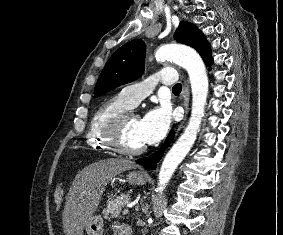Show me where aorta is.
Returning a JSON list of instances; mask_svg holds the SVG:
<instances>
[{
	"label": "aorta",
	"mask_w": 283,
	"mask_h": 235,
	"mask_svg": "<svg viewBox=\"0 0 283 235\" xmlns=\"http://www.w3.org/2000/svg\"><path fill=\"white\" fill-rule=\"evenodd\" d=\"M155 58L159 61L173 60L186 69L192 91V109L188 125L166 154L159 171L156 192L162 193L197 138L207 101L208 77L202 58L190 47L178 44L164 45L155 52Z\"/></svg>",
	"instance_id": "aorta-1"
}]
</instances>
